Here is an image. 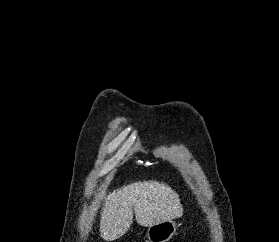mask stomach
<instances>
[{"label":"stomach","instance_id":"0dacf381","mask_svg":"<svg viewBox=\"0 0 279 242\" xmlns=\"http://www.w3.org/2000/svg\"><path fill=\"white\" fill-rule=\"evenodd\" d=\"M178 225L173 220H166L150 226L147 230L148 242H168L177 232Z\"/></svg>","mask_w":279,"mask_h":242}]
</instances>
